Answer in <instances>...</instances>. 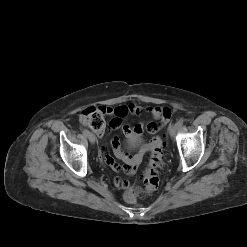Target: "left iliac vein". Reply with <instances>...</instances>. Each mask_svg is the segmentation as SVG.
Returning <instances> with one entry per match:
<instances>
[{
	"label": "left iliac vein",
	"mask_w": 247,
	"mask_h": 247,
	"mask_svg": "<svg viewBox=\"0 0 247 247\" xmlns=\"http://www.w3.org/2000/svg\"><path fill=\"white\" fill-rule=\"evenodd\" d=\"M178 129H179V126H178L177 123H176V124H172V125L169 127V134H170V136H171V137H174Z\"/></svg>",
	"instance_id": "1"
}]
</instances>
